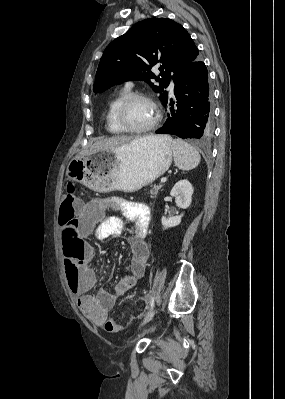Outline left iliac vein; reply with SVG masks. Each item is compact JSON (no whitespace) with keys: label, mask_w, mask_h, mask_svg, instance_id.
I'll use <instances>...</instances> for the list:
<instances>
[{"label":"left iliac vein","mask_w":285,"mask_h":399,"mask_svg":"<svg viewBox=\"0 0 285 399\" xmlns=\"http://www.w3.org/2000/svg\"><path fill=\"white\" fill-rule=\"evenodd\" d=\"M156 309L151 310L143 319L141 325H146L148 322H150L152 320V318L154 317V315L156 314Z\"/></svg>","instance_id":"left-iliac-vein-1"}]
</instances>
